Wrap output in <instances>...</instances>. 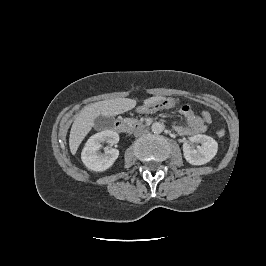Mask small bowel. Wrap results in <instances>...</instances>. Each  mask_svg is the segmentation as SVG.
I'll use <instances>...</instances> for the list:
<instances>
[{
    "instance_id": "small-bowel-1",
    "label": "small bowel",
    "mask_w": 266,
    "mask_h": 266,
    "mask_svg": "<svg viewBox=\"0 0 266 266\" xmlns=\"http://www.w3.org/2000/svg\"><path fill=\"white\" fill-rule=\"evenodd\" d=\"M180 114L184 117L186 125H176L175 131L182 136H191L206 131L204 121L195 114L191 106L185 104L180 108Z\"/></svg>"
}]
</instances>
